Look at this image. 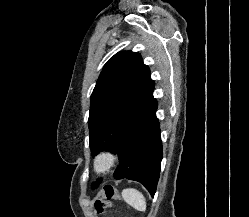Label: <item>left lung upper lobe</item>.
Returning a JSON list of instances; mask_svg holds the SVG:
<instances>
[{"label":"left lung upper lobe","mask_w":249,"mask_h":217,"mask_svg":"<svg viewBox=\"0 0 249 217\" xmlns=\"http://www.w3.org/2000/svg\"><path fill=\"white\" fill-rule=\"evenodd\" d=\"M154 88L150 70L137 52L115 54L104 66L91 95L88 119L92 155L117 151L119 129Z\"/></svg>","instance_id":"5c2ea615"}]
</instances>
